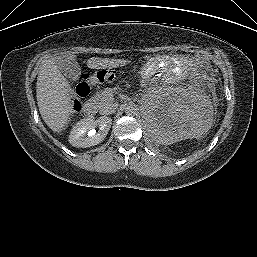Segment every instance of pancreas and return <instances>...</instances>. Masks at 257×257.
Returning <instances> with one entry per match:
<instances>
[{"label":"pancreas","mask_w":257,"mask_h":257,"mask_svg":"<svg viewBox=\"0 0 257 257\" xmlns=\"http://www.w3.org/2000/svg\"><path fill=\"white\" fill-rule=\"evenodd\" d=\"M113 100V89L107 88L97 92L90 98V103L98 109H102L107 103Z\"/></svg>","instance_id":"1"}]
</instances>
